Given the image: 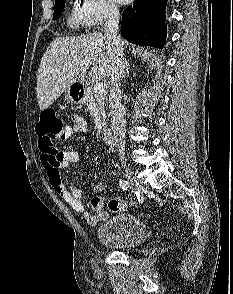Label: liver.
<instances>
[{
	"label": "liver",
	"instance_id": "obj_1",
	"mask_svg": "<svg viewBox=\"0 0 233 294\" xmlns=\"http://www.w3.org/2000/svg\"><path fill=\"white\" fill-rule=\"evenodd\" d=\"M123 49L127 42L122 40ZM116 48L102 33L56 38L46 49L37 72V100L47 109L90 68L89 77L106 79L111 74Z\"/></svg>",
	"mask_w": 233,
	"mask_h": 294
}]
</instances>
